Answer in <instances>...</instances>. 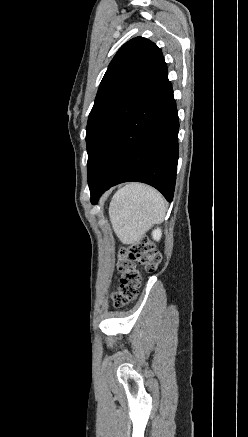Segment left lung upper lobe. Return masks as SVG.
Instances as JSON below:
<instances>
[{"label": "left lung upper lobe", "mask_w": 248, "mask_h": 437, "mask_svg": "<svg viewBox=\"0 0 248 437\" xmlns=\"http://www.w3.org/2000/svg\"><path fill=\"white\" fill-rule=\"evenodd\" d=\"M167 77L162 51L146 38H133L116 53L100 83L88 117L89 185L120 127Z\"/></svg>", "instance_id": "left-lung-upper-lobe-1"}]
</instances>
